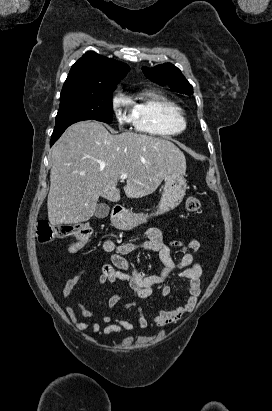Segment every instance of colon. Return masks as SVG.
Here are the masks:
<instances>
[{
	"mask_svg": "<svg viewBox=\"0 0 272 411\" xmlns=\"http://www.w3.org/2000/svg\"><path fill=\"white\" fill-rule=\"evenodd\" d=\"M201 208L198 197L190 196L186 200L188 212L195 213ZM92 228L86 223L50 224L40 221L37 226V238L41 243H49L56 239L74 238L76 241L70 246V252L80 249L91 237Z\"/></svg>",
	"mask_w": 272,
	"mask_h": 411,
	"instance_id": "obj_1",
	"label": "colon"
}]
</instances>
